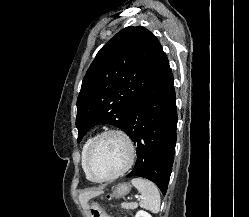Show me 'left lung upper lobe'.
<instances>
[{"label": "left lung upper lobe", "mask_w": 249, "mask_h": 217, "mask_svg": "<svg viewBox=\"0 0 249 217\" xmlns=\"http://www.w3.org/2000/svg\"><path fill=\"white\" fill-rule=\"evenodd\" d=\"M167 63L160 42L146 28L130 26L118 32L97 53L83 79L77 99V141L96 124L125 131L135 103Z\"/></svg>", "instance_id": "1"}]
</instances>
